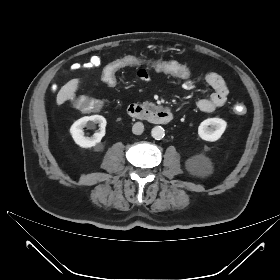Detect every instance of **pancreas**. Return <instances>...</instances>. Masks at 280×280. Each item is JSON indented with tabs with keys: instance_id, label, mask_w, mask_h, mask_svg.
I'll return each mask as SVG.
<instances>
[{
	"instance_id": "pancreas-1",
	"label": "pancreas",
	"mask_w": 280,
	"mask_h": 280,
	"mask_svg": "<svg viewBox=\"0 0 280 280\" xmlns=\"http://www.w3.org/2000/svg\"><path fill=\"white\" fill-rule=\"evenodd\" d=\"M143 106H144V108H146V109H155L157 106L154 104V103H152V102H149V101H145V102H143Z\"/></svg>"
}]
</instances>
